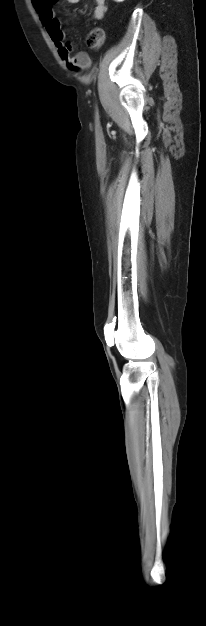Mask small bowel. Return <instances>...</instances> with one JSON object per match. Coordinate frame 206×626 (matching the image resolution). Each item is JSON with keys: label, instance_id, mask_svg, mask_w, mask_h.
<instances>
[{"label": "small bowel", "instance_id": "c3829d8e", "mask_svg": "<svg viewBox=\"0 0 206 626\" xmlns=\"http://www.w3.org/2000/svg\"><path fill=\"white\" fill-rule=\"evenodd\" d=\"M69 3H76L79 0H67ZM95 7L92 12L94 20H102L106 13V0H94ZM33 4L39 13L41 22L45 26L47 33L53 41L60 58L68 69L72 71L86 69L91 65V57L86 52L73 54L71 44L66 40L61 29L60 21L53 11L54 0H33Z\"/></svg>", "mask_w": 206, "mask_h": 626}]
</instances>
